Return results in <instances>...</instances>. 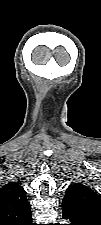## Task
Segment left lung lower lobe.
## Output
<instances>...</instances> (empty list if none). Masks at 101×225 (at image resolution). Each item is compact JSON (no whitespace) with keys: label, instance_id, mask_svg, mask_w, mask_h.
I'll return each mask as SVG.
<instances>
[{"label":"left lung lower lobe","instance_id":"left-lung-lower-lobe-1","mask_svg":"<svg viewBox=\"0 0 101 225\" xmlns=\"http://www.w3.org/2000/svg\"><path fill=\"white\" fill-rule=\"evenodd\" d=\"M63 219H69L71 222L69 225H101V222L82 216H75L63 212Z\"/></svg>","mask_w":101,"mask_h":225}]
</instances>
